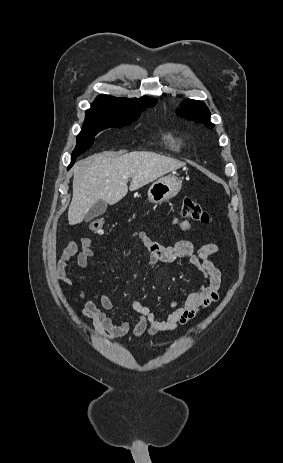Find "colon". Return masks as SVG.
Instances as JSON below:
<instances>
[{
  "instance_id": "1",
  "label": "colon",
  "mask_w": 283,
  "mask_h": 463,
  "mask_svg": "<svg viewBox=\"0 0 283 463\" xmlns=\"http://www.w3.org/2000/svg\"><path fill=\"white\" fill-rule=\"evenodd\" d=\"M179 213L183 218L198 223H208L210 220L209 213L199 203L190 198H186L182 201ZM104 226L105 220L100 217L88 221V229L96 234L102 233Z\"/></svg>"
}]
</instances>
